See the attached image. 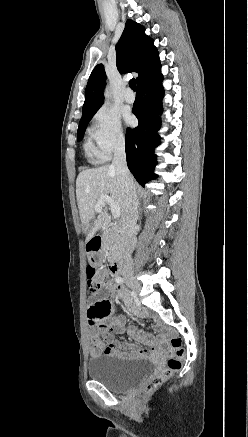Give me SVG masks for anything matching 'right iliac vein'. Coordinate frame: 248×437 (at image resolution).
Here are the masks:
<instances>
[{
    "label": "right iliac vein",
    "mask_w": 248,
    "mask_h": 437,
    "mask_svg": "<svg viewBox=\"0 0 248 437\" xmlns=\"http://www.w3.org/2000/svg\"><path fill=\"white\" fill-rule=\"evenodd\" d=\"M125 280L128 284L129 287H131L135 292H139L141 289V286L139 284V282L137 280H135V278L131 275H127L125 277Z\"/></svg>",
    "instance_id": "63e3f726"
}]
</instances>
